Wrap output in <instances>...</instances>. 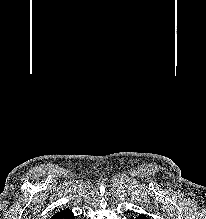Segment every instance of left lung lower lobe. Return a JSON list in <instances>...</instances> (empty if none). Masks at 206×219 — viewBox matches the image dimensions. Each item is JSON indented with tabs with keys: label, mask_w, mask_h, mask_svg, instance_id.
Returning a JSON list of instances; mask_svg holds the SVG:
<instances>
[{
	"label": "left lung lower lobe",
	"mask_w": 206,
	"mask_h": 219,
	"mask_svg": "<svg viewBox=\"0 0 206 219\" xmlns=\"http://www.w3.org/2000/svg\"><path fill=\"white\" fill-rule=\"evenodd\" d=\"M136 219H148L145 215H140Z\"/></svg>",
	"instance_id": "left-lung-lower-lobe-1"
}]
</instances>
